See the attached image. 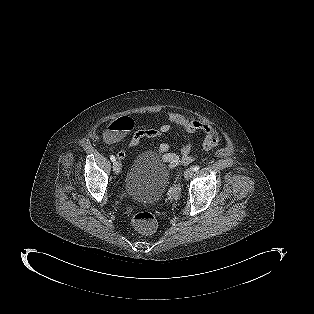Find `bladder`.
<instances>
[{
    "label": "bladder",
    "mask_w": 314,
    "mask_h": 314,
    "mask_svg": "<svg viewBox=\"0 0 314 314\" xmlns=\"http://www.w3.org/2000/svg\"><path fill=\"white\" fill-rule=\"evenodd\" d=\"M171 169L155 152L140 153L132 164L125 183L127 195L137 204L158 201L169 184Z\"/></svg>",
    "instance_id": "bladder-1"
}]
</instances>
